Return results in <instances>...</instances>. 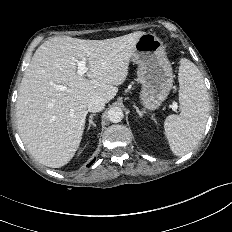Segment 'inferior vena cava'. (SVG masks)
I'll return each instance as SVG.
<instances>
[{"mask_svg":"<svg viewBox=\"0 0 232 232\" xmlns=\"http://www.w3.org/2000/svg\"><path fill=\"white\" fill-rule=\"evenodd\" d=\"M105 101L101 97L92 98L87 105L89 112H100L104 109Z\"/></svg>","mask_w":232,"mask_h":232,"instance_id":"inferior-vena-cava-1","label":"inferior vena cava"}]
</instances>
